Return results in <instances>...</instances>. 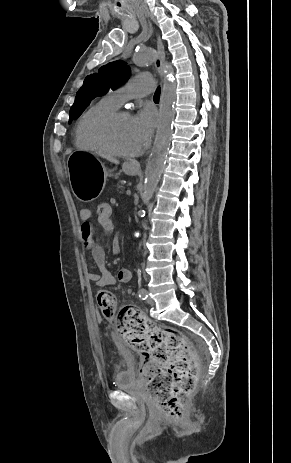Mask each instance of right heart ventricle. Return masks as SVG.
<instances>
[{
  "label": "right heart ventricle",
  "instance_id": "e07e8e85",
  "mask_svg": "<svg viewBox=\"0 0 291 463\" xmlns=\"http://www.w3.org/2000/svg\"><path fill=\"white\" fill-rule=\"evenodd\" d=\"M118 106L110 99L109 95L90 105L79 117L74 128V142L78 148L99 151L87 138L88 125L96 118L106 115Z\"/></svg>",
  "mask_w": 291,
  "mask_h": 463
}]
</instances>
